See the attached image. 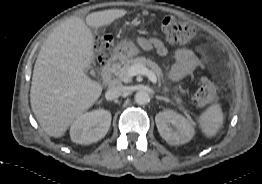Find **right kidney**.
Segmentation results:
<instances>
[{
	"label": "right kidney",
	"instance_id": "1",
	"mask_svg": "<svg viewBox=\"0 0 262 184\" xmlns=\"http://www.w3.org/2000/svg\"><path fill=\"white\" fill-rule=\"evenodd\" d=\"M111 125V114L104 109L93 110L78 116L70 128L71 140L89 145L102 139Z\"/></svg>",
	"mask_w": 262,
	"mask_h": 184
}]
</instances>
